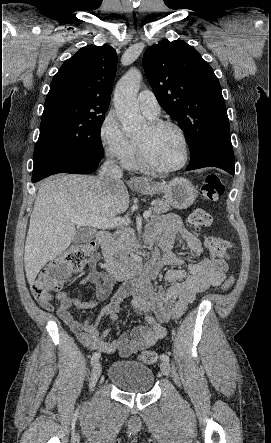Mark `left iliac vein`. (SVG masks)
<instances>
[{
  "label": "left iliac vein",
  "mask_w": 271,
  "mask_h": 443,
  "mask_svg": "<svg viewBox=\"0 0 271 443\" xmlns=\"http://www.w3.org/2000/svg\"><path fill=\"white\" fill-rule=\"evenodd\" d=\"M160 369H161V372L165 376H169L170 375V365H169L168 362H166V361L161 362Z\"/></svg>",
  "instance_id": "1"
}]
</instances>
